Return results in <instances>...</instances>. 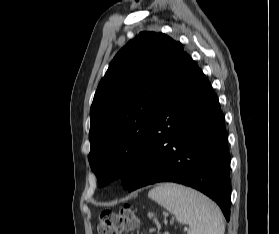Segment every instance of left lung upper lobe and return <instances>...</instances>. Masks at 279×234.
Here are the masks:
<instances>
[{"label": "left lung upper lobe", "mask_w": 279, "mask_h": 234, "mask_svg": "<svg viewBox=\"0 0 279 234\" xmlns=\"http://www.w3.org/2000/svg\"><path fill=\"white\" fill-rule=\"evenodd\" d=\"M183 46L163 33L141 32L114 57L90 109L88 155L101 186H128L142 160L155 110Z\"/></svg>", "instance_id": "5c2ea615"}]
</instances>
